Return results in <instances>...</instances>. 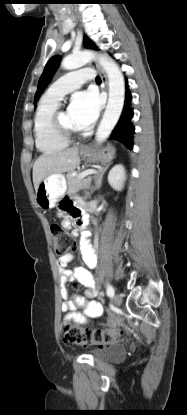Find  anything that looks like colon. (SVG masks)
I'll list each match as a JSON object with an SVG mask.
<instances>
[{
	"label": "colon",
	"mask_w": 187,
	"mask_h": 415,
	"mask_svg": "<svg viewBox=\"0 0 187 415\" xmlns=\"http://www.w3.org/2000/svg\"><path fill=\"white\" fill-rule=\"evenodd\" d=\"M51 233L54 239V250L56 255H66L74 246L73 237L60 225L54 223L51 225ZM124 337L121 329L117 330H90L73 326H67L64 329V340L67 344L87 345L107 344Z\"/></svg>",
	"instance_id": "5ec220e1"
}]
</instances>
